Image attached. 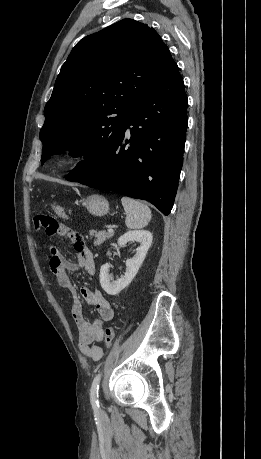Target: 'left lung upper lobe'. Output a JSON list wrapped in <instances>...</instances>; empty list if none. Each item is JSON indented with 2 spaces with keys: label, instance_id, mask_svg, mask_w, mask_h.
I'll return each mask as SVG.
<instances>
[{
  "label": "left lung upper lobe",
  "instance_id": "1",
  "mask_svg": "<svg viewBox=\"0 0 261 459\" xmlns=\"http://www.w3.org/2000/svg\"><path fill=\"white\" fill-rule=\"evenodd\" d=\"M175 64L147 24L123 19L83 38L61 67L40 130L41 164L71 147L85 155L73 169L96 170L121 135L131 112Z\"/></svg>",
  "mask_w": 261,
  "mask_h": 459
}]
</instances>
